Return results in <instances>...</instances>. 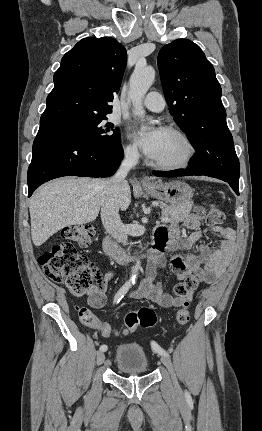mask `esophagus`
I'll list each match as a JSON object with an SVG mask.
<instances>
[{
  "instance_id": "1",
  "label": "esophagus",
  "mask_w": 262,
  "mask_h": 431,
  "mask_svg": "<svg viewBox=\"0 0 262 431\" xmlns=\"http://www.w3.org/2000/svg\"><path fill=\"white\" fill-rule=\"evenodd\" d=\"M140 183H141L142 186H147V185L150 184V180L147 177H142L140 179Z\"/></svg>"
}]
</instances>
